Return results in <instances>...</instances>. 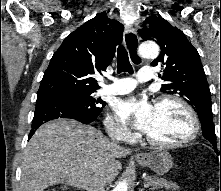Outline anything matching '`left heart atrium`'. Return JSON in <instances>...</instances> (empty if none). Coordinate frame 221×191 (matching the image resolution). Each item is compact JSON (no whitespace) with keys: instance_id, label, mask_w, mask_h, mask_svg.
<instances>
[{"instance_id":"39dd6f15","label":"left heart atrium","mask_w":221,"mask_h":191,"mask_svg":"<svg viewBox=\"0 0 221 191\" xmlns=\"http://www.w3.org/2000/svg\"><path fill=\"white\" fill-rule=\"evenodd\" d=\"M115 111L124 123L147 133L154 118L155 107L144 98L131 96L117 101Z\"/></svg>"}]
</instances>
